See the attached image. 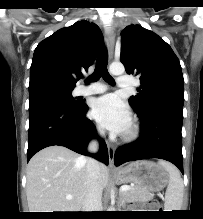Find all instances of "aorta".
<instances>
[{
    "label": "aorta",
    "mask_w": 203,
    "mask_h": 219,
    "mask_svg": "<svg viewBox=\"0 0 203 219\" xmlns=\"http://www.w3.org/2000/svg\"><path fill=\"white\" fill-rule=\"evenodd\" d=\"M109 71L113 75H122L125 72V68L122 63L114 62L110 65Z\"/></svg>",
    "instance_id": "762f6f07"
}]
</instances>
